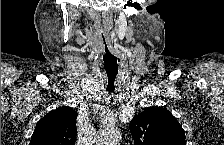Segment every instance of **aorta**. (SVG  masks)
<instances>
[{"instance_id": "aorta-1", "label": "aorta", "mask_w": 224, "mask_h": 145, "mask_svg": "<svg viewBox=\"0 0 224 145\" xmlns=\"http://www.w3.org/2000/svg\"><path fill=\"white\" fill-rule=\"evenodd\" d=\"M121 139L120 131L113 127L107 126L102 128L96 136L97 145H117Z\"/></svg>"}]
</instances>
